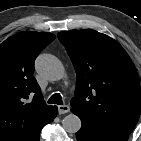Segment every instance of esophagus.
<instances>
[{"mask_svg":"<svg viewBox=\"0 0 141 141\" xmlns=\"http://www.w3.org/2000/svg\"><path fill=\"white\" fill-rule=\"evenodd\" d=\"M70 111V107L68 105H59L58 106V113L59 114H66Z\"/></svg>","mask_w":141,"mask_h":141,"instance_id":"obj_1","label":"esophagus"}]
</instances>
